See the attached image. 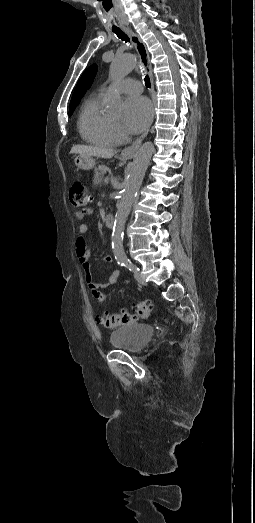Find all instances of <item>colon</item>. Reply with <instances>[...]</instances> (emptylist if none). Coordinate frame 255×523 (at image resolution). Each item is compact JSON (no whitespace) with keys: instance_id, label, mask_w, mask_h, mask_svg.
I'll return each instance as SVG.
<instances>
[{"instance_id":"obj_1","label":"colon","mask_w":255,"mask_h":523,"mask_svg":"<svg viewBox=\"0 0 255 523\" xmlns=\"http://www.w3.org/2000/svg\"><path fill=\"white\" fill-rule=\"evenodd\" d=\"M69 200L73 207L84 209L88 203L85 187L81 182H74L69 191ZM93 295L98 302H105L106 296L97 289H92ZM153 310L151 302L140 301L134 312L123 311L117 314L105 313L100 317L101 324L106 328H115L120 325L138 322L147 319Z\"/></svg>"}]
</instances>
